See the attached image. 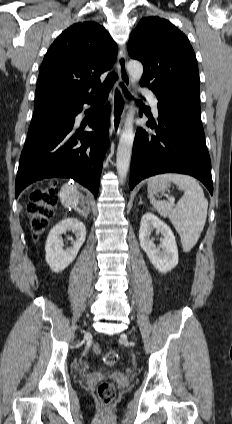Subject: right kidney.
Masks as SVG:
<instances>
[{
	"mask_svg": "<svg viewBox=\"0 0 232 424\" xmlns=\"http://www.w3.org/2000/svg\"><path fill=\"white\" fill-rule=\"evenodd\" d=\"M67 231H72L75 235V241H72V247L64 249L61 235ZM86 238L85 225L75 218H67L55 225L46 241V262L54 272L63 271L73 262L78 251Z\"/></svg>",
	"mask_w": 232,
	"mask_h": 424,
	"instance_id": "obj_1",
	"label": "right kidney"
}]
</instances>
